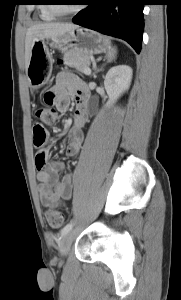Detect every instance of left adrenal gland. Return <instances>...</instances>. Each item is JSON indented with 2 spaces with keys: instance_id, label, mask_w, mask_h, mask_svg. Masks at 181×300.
I'll use <instances>...</instances> for the list:
<instances>
[{
  "instance_id": "a2214340",
  "label": "left adrenal gland",
  "mask_w": 181,
  "mask_h": 300,
  "mask_svg": "<svg viewBox=\"0 0 181 300\" xmlns=\"http://www.w3.org/2000/svg\"><path fill=\"white\" fill-rule=\"evenodd\" d=\"M98 71H99V70L95 71V72L93 73V75H95Z\"/></svg>"
}]
</instances>
